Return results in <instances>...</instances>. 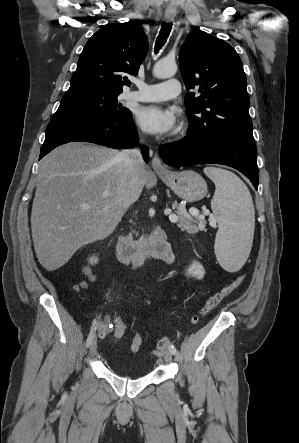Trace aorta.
Returning a JSON list of instances; mask_svg holds the SVG:
<instances>
[{
	"label": "aorta",
	"instance_id": "aorta-1",
	"mask_svg": "<svg viewBox=\"0 0 299 443\" xmlns=\"http://www.w3.org/2000/svg\"><path fill=\"white\" fill-rule=\"evenodd\" d=\"M177 72V64L175 61L163 59L158 61L153 68V75L159 79L172 77Z\"/></svg>",
	"mask_w": 299,
	"mask_h": 443
}]
</instances>
